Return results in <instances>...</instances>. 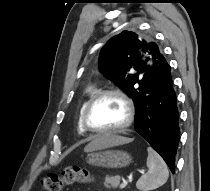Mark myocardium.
Segmentation results:
<instances>
[{
    "instance_id": "obj_1",
    "label": "myocardium",
    "mask_w": 210,
    "mask_h": 191,
    "mask_svg": "<svg viewBox=\"0 0 210 191\" xmlns=\"http://www.w3.org/2000/svg\"><path fill=\"white\" fill-rule=\"evenodd\" d=\"M108 95L117 96L124 102V104L126 106V110H127L126 120L124 121L123 124H121L120 126L115 127V128H109V129L95 128L89 122V113H90L92 107L94 106V104L98 100H100L101 98L108 96ZM134 116H135V107H134V104H133L132 100L130 99V97L126 93H124L123 91H121L119 89H107V90H102L100 92H97L87 102V104L82 112L81 121H82V125H83L84 129L88 132L95 133V134H113V133L122 132L125 129H127L132 124V122L134 120Z\"/></svg>"
}]
</instances>
